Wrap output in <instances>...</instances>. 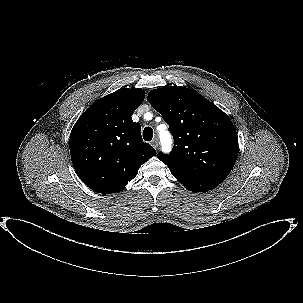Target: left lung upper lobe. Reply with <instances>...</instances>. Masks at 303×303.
I'll use <instances>...</instances> for the list:
<instances>
[{
	"mask_svg": "<svg viewBox=\"0 0 303 303\" xmlns=\"http://www.w3.org/2000/svg\"><path fill=\"white\" fill-rule=\"evenodd\" d=\"M174 137L169 155L157 157L186 178L227 177L237 158L238 137L230 118L197 92L179 86L148 94Z\"/></svg>",
	"mask_w": 303,
	"mask_h": 303,
	"instance_id": "obj_1",
	"label": "left lung upper lobe"
}]
</instances>
